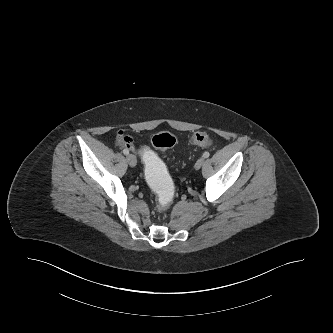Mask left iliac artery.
<instances>
[{"mask_svg": "<svg viewBox=\"0 0 333 333\" xmlns=\"http://www.w3.org/2000/svg\"><path fill=\"white\" fill-rule=\"evenodd\" d=\"M209 156H210L209 152H204V153H203V157H204V158H208Z\"/></svg>", "mask_w": 333, "mask_h": 333, "instance_id": "obj_1", "label": "left iliac artery"}]
</instances>
